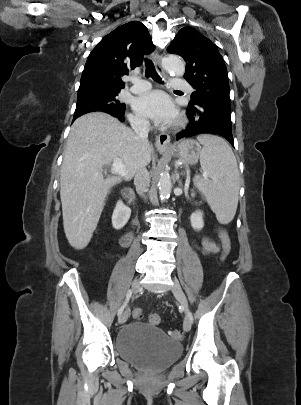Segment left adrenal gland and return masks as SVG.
Segmentation results:
<instances>
[{
	"label": "left adrenal gland",
	"mask_w": 301,
	"mask_h": 405,
	"mask_svg": "<svg viewBox=\"0 0 301 405\" xmlns=\"http://www.w3.org/2000/svg\"><path fill=\"white\" fill-rule=\"evenodd\" d=\"M175 181H177L179 183L180 186H182L181 181L179 180V174L176 172L175 174Z\"/></svg>",
	"instance_id": "left-adrenal-gland-1"
}]
</instances>
